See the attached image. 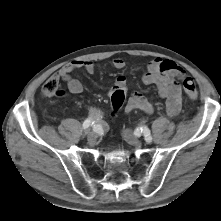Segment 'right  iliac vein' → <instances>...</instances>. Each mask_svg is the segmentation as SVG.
<instances>
[{
    "instance_id": "63e3f726",
    "label": "right iliac vein",
    "mask_w": 221,
    "mask_h": 221,
    "mask_svg": "<svg viewBox=\"0 0 221 221\" xmlns=\"http://www.w3.org/2000/svg\"><path fill=\"white\" fill-rule=\"evenodd\" d=\"M96 138H97L96 133L95 132H90L88 134V142H89V144H94L95 141H96Z\"/></svg>"
}]
</instances>
